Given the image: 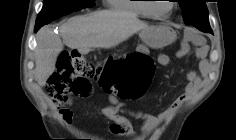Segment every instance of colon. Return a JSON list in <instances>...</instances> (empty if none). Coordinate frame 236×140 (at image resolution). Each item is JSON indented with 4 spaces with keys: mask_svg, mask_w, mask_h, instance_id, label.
<instances>
[{
    "mask_svg": "<svg viewBox=\"0 0 236 140\" xmlns=\"http://www.w3.org/2000/svg\"><path fill=\"white\" fill-rule=\"evenodd\" d=\"M154 73V64L146 56H127L106 60L95 66L77 51H63L57 71L49 78L48 96L57 104L91 93V80H98L106 91L122 99H137L145 94Z\"/></svg>",
    "mask_w": 236,
    "mask_h": 140,
    "instance_id": "obj_1",
    "label": "colon"
}]
</instances>
